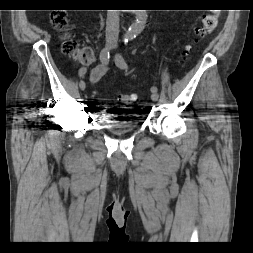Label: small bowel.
I'll return each mask as SVG.
<instances>
[{
	"instance_id": "small-bowel-1",
	"label": "small bowel",
	"mask_w": 253,
	"mask_h": 253,
	"mask_svg": "<svg viewBox=\"0 0 253 253\" xmlns=\"http://www.w3.org/2000/svg\"><path fill=\"white\" fill-rule=\"evenodd\" d=\"M110 70L108 65L101 64L91 70L89 73V81L93 84L99 82L102 77ZM86 70L82 68L79 73L81 75L85 74Z\"/></svg>"
}]
</instances>
